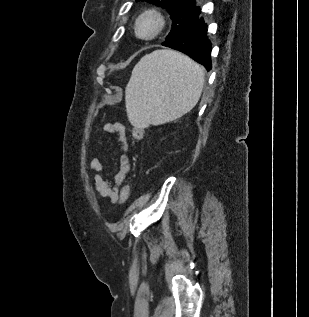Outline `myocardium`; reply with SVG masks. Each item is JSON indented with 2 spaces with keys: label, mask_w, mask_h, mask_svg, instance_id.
Returning a JSON list of instances; mask_svg holds the SVG:
<instances>
[{
  "label": "myocardium",
  "mask_w": 309,
  "mask_h": 317,
  "mask_svg": "<svg viewBox=\"0 0 309 317\" xmlns=\"http://www.w3.org/2000/svg\"><path fill=\"white\" fill-rule=\"evenodd\" d=\"M149 24L150 28L147 32H143V27ZM165 19L162 14L155 10H147L143 12L135 22L136 34L145 40L156 38L164 29Z\"/></svg>",
  "instance_id": "f54148a6"
}]
</instances>
